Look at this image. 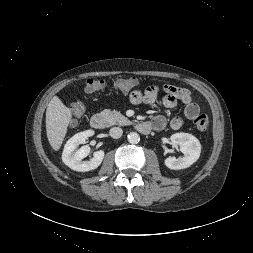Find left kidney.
Segmentation results:
<instances>
[{
    "label": "left kidney",
    "instance_id": "1",
    "mask_svg": "<svg viewBox=\"0 0 253 253\" xmlns=\"http://www.w3.org/2000/svg\"><path fill=\"white\" fill-rule=\"evenodd\" d=\"M174 145L180 146V151L184 154L182 158L168 157L165 159V165L173 170L185 169L196 162L201 153V144L199 140L188 133H175L170 137Z\"/></svg>",
    "mask_w": 253,
    "mask_h": 253
}]
</instances>
